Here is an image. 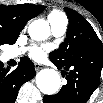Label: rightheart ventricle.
Listing matches in <instances>:
<instances>
[{
	"mask_svg": "<svg viewBox=\"0 0 103 103\" xmlns=\"http://www.w3.org/2000/svg\"><path fill=\"white\" fill-rule=\"evenodd\" d=\"M63 16L60 12L58 11H53L48 15V20L50 19H57L59 17Z\"/></svg>",
	"mask_w": 103,
	"mask_h": 103,
	"instance_id": "1",
	"label": "right heart ventricle"
}]
</instances>
